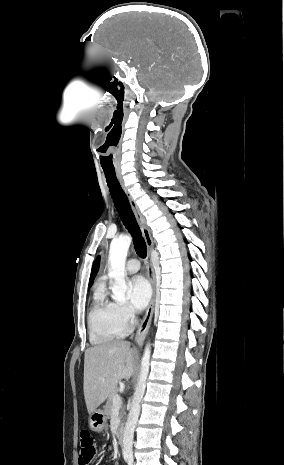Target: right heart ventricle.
I'll list each match as a JSON object with an SVG mask.
<instances>
[{
  "instance_id": "obj_1",
  "label": "right heart ventricle",
  "mask_w": 284,
  "mask_h": 465,
  "mask_svg": "<svg viewBox=\"0 0 284 465\" xmlns=\"http://www.w3.org/2000/svg\"><path fill=\"white\" fill-rule=\"evenodd\" d=\"M91 343L106 346L119 340L125 333L115 308L102 292L94 295L87 317Z\"/></svg>"
}]
</instances>
